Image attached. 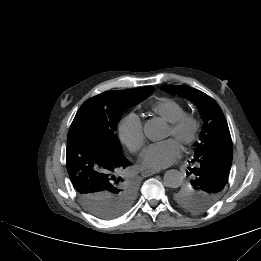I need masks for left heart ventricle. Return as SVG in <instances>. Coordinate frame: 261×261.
Masks as SVG:
<instances>
[{"label": "left heart ventricle", "instance_id": "1", "mask_svg": "<svg viewBox=\"0 0 261 261\" xmlns=\"http://www.w3.org/2000/svg\"><path fill=\"white\" fill-rule=\"evenodd\" d=\"M168 136H173L175 139H177L178 141H180V137H179L178 135H176V134L172 131V129H171L170 126H169L168 131H167V134H166V137H168Z\"/></svg>", "mask_w": 261, "mask_h": 261}]
</instances>
